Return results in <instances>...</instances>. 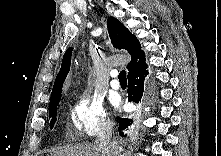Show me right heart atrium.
Masks as SVG:
<instances>
[{
	"instance_id": "right-heart-atrium-1",
	"label": "right heart atrium",
	"mask_w": 221,
	"mask_h": 156,
	"mask_svg": "<svg viewBox=\"0 0 221 156\" xmlns=\"http://www.w3.org/2000/svg\"><path fill=\"white\" fill-rule=\"evenodd\" d=\"M70 120L74 134L82 138L105 134L111 127L103 102L90 92L76 99L70 109Z\"/></svg>"
}]
</instances>
